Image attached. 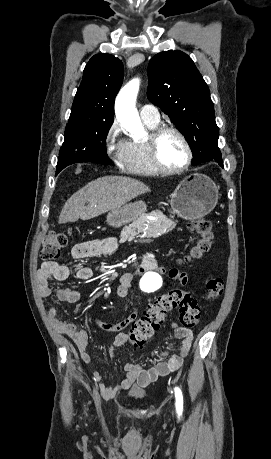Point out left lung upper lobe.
Returning <instances> with one entry per match:
<instances>
[{"label":"left lung upper lobe","mask_w":271,"mask_h":459,"mask_svg":"<svg viewBox=\"0 0 271 459\" xmlns=\"http://www.w3.org/2000/svg\"><path fill=\"white\" fill-rule=\"evenodd\" d=\"M148 74V99L169 115L186 137L192 164L222 158L214 104L192 59L179 50L163 51L150 60Z\"/></svg>","instance_id":"left-lung-upper-lobe-1"}]
</instances>
